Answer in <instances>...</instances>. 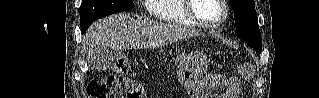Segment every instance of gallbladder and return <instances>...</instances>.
<instances>
[{"mask_svg": "<svg viewBox=\"0 0 319 98\" xmlns=\"http://www.w3.org/2000/svg\"><path fill=\"white\" fill-rule=\"evenodd\" d=\"M114 55L110 48L100 47L91 56L92 66L96 70L108 69L113 64Z\"/></svg>", "mask_w": 319, "mask_h": 98, "instance_id": "bac80fb5", "label": "gallbladder"}]
</instances>
